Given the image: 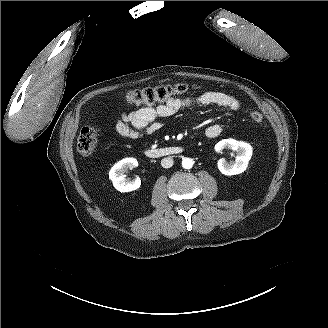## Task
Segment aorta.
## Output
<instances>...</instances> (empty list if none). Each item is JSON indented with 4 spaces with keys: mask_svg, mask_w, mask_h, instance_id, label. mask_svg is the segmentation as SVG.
<instances>
[{
    "mask_svg": "<svg viewBox=\"0 0 328 328\" xmlns=\"http://www.w3.org/2000/svg\"><path fill=\"white\" fill-rule=\"evenodd\" d=\"M193 166V161L190 158H184L182 160V167L185 169H191Z\"/></svg>",
    "mask_w": 328,
    "mask_h": 328,
    "instance_id": "aorta-1",
    "label": "aorta"
}]
</instances>
